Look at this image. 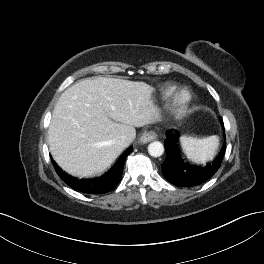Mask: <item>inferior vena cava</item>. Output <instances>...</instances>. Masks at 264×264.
<instances>
[{
  "instance_id": "602c4592",
  "label": "inferior vena cava",
  "mask_w": 264,
  "mask_h": 264,
  "mask_svg": "<svg viewBox=\"0 0 264 264\" xmlns=\"http://www.w3.org/2000/svg\"><path fill=\"white\" fill-rule=\"evenodd\" d=\"M116 142L118 145L123 146V147H127L130 144V141L128 140V138L126 136H120L116 139Z\"/></svg>"
}]
</instances>
